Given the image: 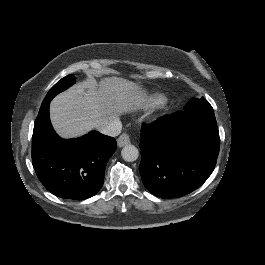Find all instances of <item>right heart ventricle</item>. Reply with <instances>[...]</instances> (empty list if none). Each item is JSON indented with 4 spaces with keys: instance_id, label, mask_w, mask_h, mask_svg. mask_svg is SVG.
I'll use <instances>...</instances> for the list:
<instances>
[{
    "instance_id": "obj_1",
    "label": "right heart ventricle",
    "mask_w": 265,
    "mask_h": 265,
    "mask_svg": "<svg viewBox=\"0 0 265 265\" xmlns=\"http://www.w3.org/2000/svg\"><path fill=\"white\" fill-rule=\"evenodd\" d=\"M108 108H109L110 110H118V109H119L118 106H108Z\"/></svg>"
}]
</instances>
